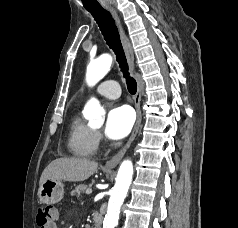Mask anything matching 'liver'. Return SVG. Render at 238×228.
<instances>
[{"instance_id": "obj_1", "label": "liver", "mask_w": 238, "mask_h": 228, "mask_svg": "<svg viewBox=\"0 0 238 228\" xmlns=\"http://www.w3.org/2000/svg\"><path fill=\"white\" fill-rule=\"evenodd\" d=\"M98 168V163L86 158L69 157L53 160L43 171L39 184L45 180H64L80 182L91 177Z\"/></svg>"}]
</instances>
